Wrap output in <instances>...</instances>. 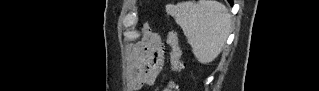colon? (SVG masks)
I'll return each mask as SVG.
<instances>
[{
    "mask_svg": "<svg viewBox=\"0 0 319 91\" xmlns=\"http://www.w3.org/2000/svg\"><path fill=\"white\" fill-rule=\"evenodd\" d=\"M167 43L171 47V56H170V77H173L180 69L181 62V48L179 44V38L177 32L175 30H170L167 36ZM156 59V51L149 50L142 57L141 64L143 67H151L154 65ZM165 91H174L175 83L172 79H170L164 89Z\"/></svg>",
    "mask_w": 319,
    "mask_h": 91,
    "instance_id": "obj_1",
    "label": "colon"
}]
</instances>
